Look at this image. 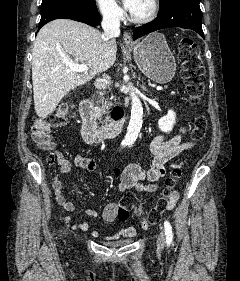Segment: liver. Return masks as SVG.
<instances>
[{
  "instance_id": "1",
  "label": "liver",
  "mask_w": 240,
  "mask_h": 281,
  "mask_svg": "<svg viewBox=\"0 0 240 281\" xmlns=\"http://www.w3.org/2000/svg\"><path fill=\"white\" fill-rule=\"evenodd\" d=\"M115 42L80 22L57 19L38 32L32 52V83L36 114L45 118L71 90L106 71L116 60ZM67 62L83 64L88 72L71 71Z\"/></svg>"
}]
</instances>
